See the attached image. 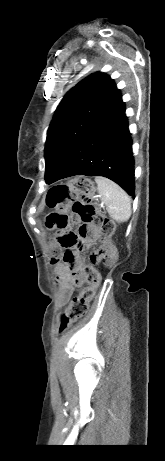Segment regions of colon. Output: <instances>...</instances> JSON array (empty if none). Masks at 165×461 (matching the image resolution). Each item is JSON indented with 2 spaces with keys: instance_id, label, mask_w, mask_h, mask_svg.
I'll return each instance as SVG.
<instances>
[{
  "instance_id": "obj_1",
  "label": "colon",
  "mask_w": 165,
  "mask_h": 461,
  "mask_svg": "<svg viewBox=\"0 0 165 461\" xmlns=\"http://www.w3.org/2000/svg\"><path fill=\"white\" fill-rule=\"evenodd\" d=\"M46 204L54 210L46 218V226L49 229L66 228L70 220L67 211L70 210L84 225H96L100 237L98 248L90 256V263L84 267L87 287L72 298L66 312L60 318L59 330L63 332L86 314L89 303L96 295L102 278L94 265L98 262L109 263L115 256L111 244L115 225L106 215L101 214L93 203V185L87 178H78L54 186L47 193ZM57 261L58 253L53 251L49 256V263L55 264Z\"/></svg>"
}]
</instances>
